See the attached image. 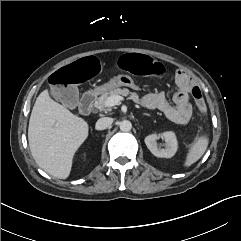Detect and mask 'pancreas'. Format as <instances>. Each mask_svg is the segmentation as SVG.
<instances>
[{"label":"pancreas","instance_id":"obj_1","mask_svg":"<svg viewBox=\"0 0 241 241\" xmlns=\"http://www.w3.org/2000/svg\"><path fill=\"white\" fill-rule=\"evenodd\" d=\"M128 96L134 102L139 101V95L135 92H130L127 88H116L109 91H105L102 95L95 101V107L100 111H111L110 107H106L105 102L111 96Z\"/></svg>","mask_w":241,"mask_h":241}]
</instances>
